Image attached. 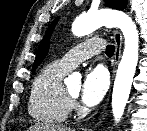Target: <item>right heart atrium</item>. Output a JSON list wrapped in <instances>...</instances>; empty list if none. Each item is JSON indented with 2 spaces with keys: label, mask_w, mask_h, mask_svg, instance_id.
Segmentation results:
<instances>
[{
  "label": "right heart atrium",
  "mask_w": 147,
  "mask_h": 131,
  "mask_svg": "<svg viewBox=\"0 0 147 131\" xmlns=\"http://www.w3.org/2000/svg\"><path fill=\"white\" fill-rule=\"evenodd\" d=\"M75 102H71V107H75Z\"/></svg>",
  "instance_id": "1"
}]
</instances>
